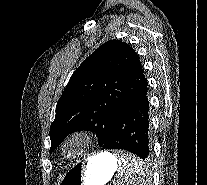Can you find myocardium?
Returning a JSON list of instances; mask_svg holds the SVG:
<instances>
[{"instance_id": "f54148a6", "label": "myocardium", "mask_w": 207, "mask_h": 185, "mask_svg": "<svg viewBox=\"0 0 207 185\" xmlns=\"http://www.w3.org/2000/svg\"><path fill=\"white\" fill-rule=\"evenodd\" d=\"M70 143H76L78 145L76 151L67 155L65 148ZM95 138L92 132L86 129L75 130L70 133L60 144V154L68 161H76L84 157L93 147Z\"/></svg>"}]
</instances>
